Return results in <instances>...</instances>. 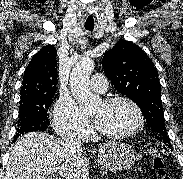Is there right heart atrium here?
Returning <instances> with one entry per match:
<instances>
[{
  "label": "right heart atrium",
  "mask_w": 183,
  "mask_h": 179,
  "mask_svg": "<svg viewBox=\"0 0 183 179\" xmlns=\"http://www.w3.org/2000/svg\"><path fill=\"white\" fill-rule=\"evenodd\" d=\"M53 126L55 131L62 137L85 136L91 130L89 120L70 98H60L56 102Z\"/></svg>",
  "instance_id": "right-heart-atrium-1"
}]
</instances>
